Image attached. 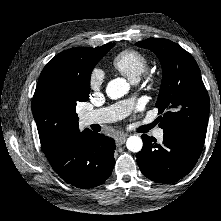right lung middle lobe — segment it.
<instances>
[{
	"label": "right lung middle lobe",
	"instance_id": "dd1d6c3e",
	"mask_svg": "<svg viewBox=\"0 0 221 221\" xmlns=\"http://www.w3.org/2000/svg\"><path fill=\"white\" fill-rule=\"evenodd\" d=\"M114 43H108L104 45L103 50L93 60L87 63V65L81 69L79 75L74 77V87L79 102L88 100L90 93V76L92 69L98 63V61L114 46Z\"/></svg>",
	"mask_w": 221,
	"mask_h": 221
}]
</instances>
